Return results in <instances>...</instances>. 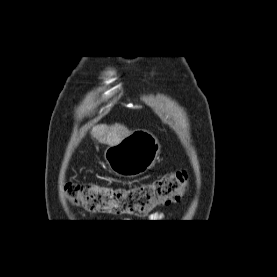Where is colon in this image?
<instances>
[{
	"instance_id": "5ec220e1",
	"label": "colon",
	"mask_w": 277,
	"mask_h": 277,
	"mask_svg": "<svg viewBox=\"0 0 277 277\" xmlns=\"http://www.w3.org/2000/svg\"><path fill=\"white\" fill-rule=\"evenodd\" d=\"M187 185L186 172L175 171L150 183L127 188L68 183L66 194L70 202L90 212L143 216L157 206L178 201Z\"/></svg>"
}]
</instances>
